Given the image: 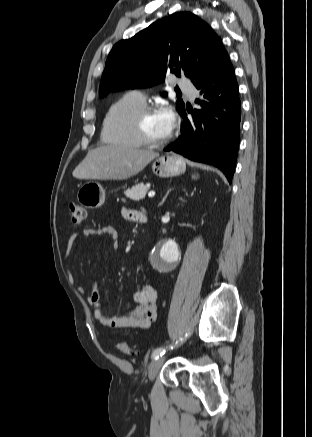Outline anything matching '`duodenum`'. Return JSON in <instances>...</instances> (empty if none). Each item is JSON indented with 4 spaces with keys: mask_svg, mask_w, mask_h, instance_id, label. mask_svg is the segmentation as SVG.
<instances>
[{
    "mask_svg": "<svg viewBox=\"0 0 312 437\" xmlns=\"http://www.w3.org/2000/svg\"><path fill=\"white\" fill-rule=\"evenodd\" d=\"M147 217H145L143 220H142V223H147Z\"/></svg>",
    "mask_w": 312,
    "mask_h": 437,
    "instance_id": "410a0bca",
    "label": "duodenum"
}]
</instances>
